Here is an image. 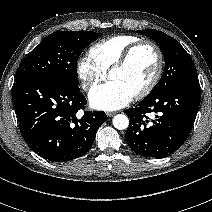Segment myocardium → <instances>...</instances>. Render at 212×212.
<instances>
[{"label":"myocardium","mask_w":212,"mask_h":212,"mask_svg":"<svg viewBox=\"0 0 212 212\" xmlns=\"http://www.w3.org/2000/svg\"><path fill=\"white\" fill-rule=\"evenodd\" d=\"M145 46L150 47L155 52L157 58V65L156 70L150 81L134 95L133 98L136 100L142 99L146 97L149 93H151V91L156 87L161 78L164 67V57L158 45L149 40H139L133 43L123 52L120 58L111 66L108 71V78L110 79L112 73L122 70L128 65L132 55L135 53L136 50Z\"/></svg>","instance_id":"obj_1"}]
</instances>
